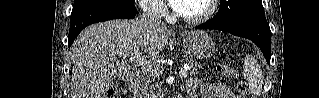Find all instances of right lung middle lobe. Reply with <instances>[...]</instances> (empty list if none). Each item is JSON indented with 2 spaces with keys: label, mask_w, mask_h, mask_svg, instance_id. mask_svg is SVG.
Here are the masks:
<instances>
[{
  "label": "right lung middle lobe",
  "mask_w": 319,
  "mask_h": 98,
  "mask_svg": "<svg viewBox=\"0 0 319 98\" xmlns=\"http://www.w3.org/2000/svg\"><path fill=\"white\" fill-rule=\"evenodd\" d=\"M93 1H115V2L127 4V5H134V2H135L134 0H74V5L86 3V2H93Z\"/></svg>",
  "instance_id": "obj_1"
}]
</instances>
